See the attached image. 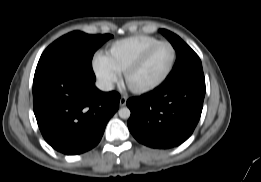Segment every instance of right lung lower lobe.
Returning a JSON list of instances; mask_svg holds the SVG:
<instances>
[{"mask_svg":"<svg viewBox=\"0 0 261 182\" xmlns=\"http://www.w3.org/2000/svg\"><path fill=\"white\" fill-rule=\"evenodd\" d=\"M94 82L70 61L35 73L34 114L44 139L55 150L80 154L101 140L108 120L118 110L120 95L101 92Z\"/></svg>","mask_w":261,"mask_h":182,"instance_id":"right-lung-lower-lobe-1","label":"right lung lower lobe"}]
</instances>
